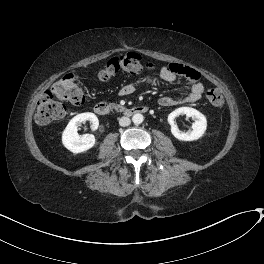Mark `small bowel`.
Here are the masks:
<instances>
[{"label": "small bowel", "mask_w": 264, "mask_h": 264, "mask_svg": "<svg viewBox=\"0 0 264 264\" xmlns=\"http://www.w3.org/2000/svg\"><path fill=\"white\" fill-rule=\"evenodd\" d=\"M151 66L155 67L154 64H151ZM160 76L163 80L169 83H175L180 78H183L189 89V93L184 97L162 96L159 99V104L161 106L171 107L181 104H189L197 102L202 98L204 85L198 80L197 72L194 69L177 64L163 66L160 69ZM141 84L146 86H158L159 82L156 79L147 76L141 80ZM134 90L135 87L133 85H127L120 90V93L122 95H130Z\"/></svg>", "instance_id": "small-bowel-1"}]
</instances>
